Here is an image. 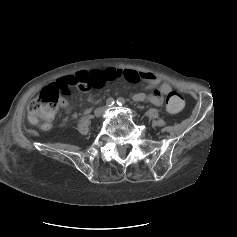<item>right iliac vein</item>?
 Returning a JSON list of instances; mask_svg holds the SVG:
<instances>
[{
  "mask_svg": "<svg viewBox=\"0 0 237 237\" xmlns=\"http://www.w3.org/2000/svg\"><path fill=\"white\" fill-rule=\"evenodd\" d=\"M105 108L104 107H99L95 110V116L97 118L102 117V115L104 114Z\"/></svg>",
  "mask_w": 237,
  "mask_h": 237,
  "instance_id": "63e3f726",
  "label": "right iliac vein"
}]
</instances>
